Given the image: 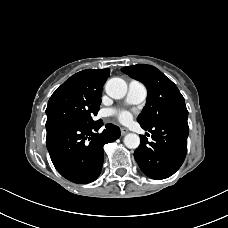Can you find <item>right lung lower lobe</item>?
I'll return each mask as SVG.
<instances>
[{
    "label": "right lung lower lobe",
    "mask_w": 228,
    "mask_h": 228,
    "mask_svg": "<svg viewBox=\"0 0 228 228\" xmlns=\"http://www.w3.org/2000/svg\"><path fill=\"white\" fill-rule=\"evenodd\" d=\"M102 120L87 124L61 125L47 132L46 145L56 170L66 179L78 184L90 183L101 173L103 146L120 137V129L106 124L97 133Z\"/></svg>",
    "instance_id": "obj_1"
}]
</instances>
